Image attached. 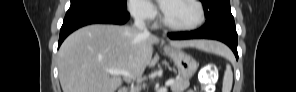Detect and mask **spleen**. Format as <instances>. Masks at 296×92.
I'll list each match as a JSON object with an SVG mask.
<instances>
[{"instance_id": "1", "label": "spleen", "mask_w": 296, "mask_h": 92, "mask_svg": "<svg viewBox=\"0 0 296 92\" xmlns=\"http://www.w3.org/2000/svg\"><path fill=\"white\" fill-rule=\"evenodd\" d=\"M215 53L221 54L222 56L226 57L227 59L231 58V53L229 50L226 49L222 44L216 43V47L214 50ZM233 83V73L231 66L229 64L226 65V70L223 77V86L222 92H231Z\"/></svg>"}]
</instances>
